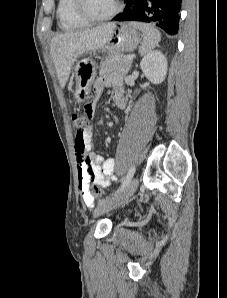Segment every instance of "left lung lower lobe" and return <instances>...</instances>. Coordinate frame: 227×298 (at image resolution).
Listing matches in <instances>:
<instances>
[{
    "instance_id": "1",
    "label": "left lung lower lobe",
    "mask_w": 227,
    "mask_h": 298,
    "mask_svg": "<svg viewBox=\"0 0 227 298\" xmlns=\"http://www.w3.org/2000/svg\"><path fill=\"white\" fill-rule=\"evenodd\" d=\"M126 6L114 21L154 22L170 35H175L179 27L181 0H124Z\"/></svg>"
}]
</instances>
